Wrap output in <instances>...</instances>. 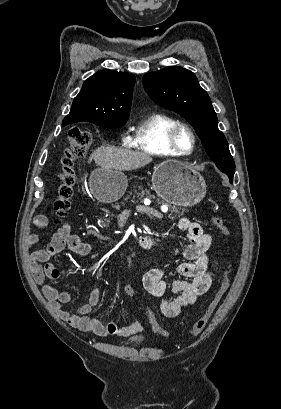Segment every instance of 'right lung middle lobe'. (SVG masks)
Returning <instances> with one entry per match:
<instances>
[{
	"label": "right lung middle lobe",
	"instance_id": "obj_1",
	"mask_svg": "<svg viewBox=\"0 0 281 409\" xmlns=\"http://www.w3.org/2000/svg\"><path fill=\"white\" fill-rule=\"evenodd\" d=\"M126 122H117V123H97L96 125L104 128H117L124 125Z\"/></svg>",
	"mask_w": 281,
	"mask_h": 409
}]
</instances>
